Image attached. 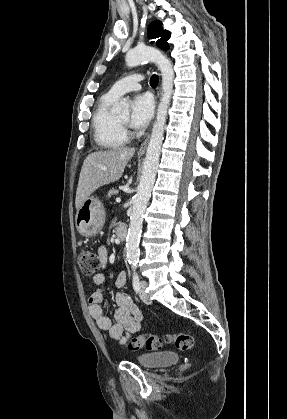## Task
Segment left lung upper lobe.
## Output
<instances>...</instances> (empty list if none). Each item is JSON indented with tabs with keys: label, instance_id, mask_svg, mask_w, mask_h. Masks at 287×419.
Returning a JSON list of instances; mask_svg holds the SVG:
<instances>
[{
	"label": "left lung upper lobe",
	"instance_id": "obj_1",
	"mask_svg": "<svg viewBox=\"0 0 287 419\" xmlns=\"http://www.w3.org/2000/svg\"><path fill=\"white\" fill-rule=\"evenodd\" d=\"M148 37L150 39L158 38L156 43L157 46L163 50L169 49L167 40L170 38V34L169 31L163 29L162 23L160 21L156 20L149 25Z\"/></svg>",
	"mask_w": 287,
	"mask_h": 419
}]
</instances>
